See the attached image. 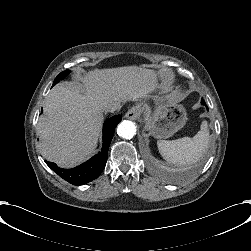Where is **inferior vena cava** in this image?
I'll list each match as a JSON object with an SVG mask.
<instances>
[{
  "label": "inferior vena cava",
  "instance_id": "602c4592",
  "mask_svg": "<svg viewBox=\"0 0 251 251\" xmlns=\"http://www.w3.org/2000/svg\"><path fill=\"white\" fill-rule=\"evenodd\" d=\"M120 109H121V104L119 102H113L106 106L105 111L114 113L115 111H118Z\"/></svg>",
  "mask_w": 251,
  "mask_h": 251
}]
</instances>
